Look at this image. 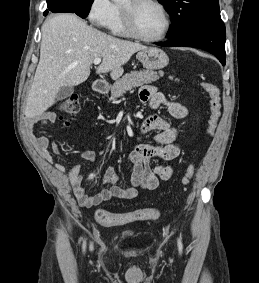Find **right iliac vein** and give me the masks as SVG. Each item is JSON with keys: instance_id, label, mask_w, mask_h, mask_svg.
Masks as SVG:
<instances>
[{"instance_id": "right-iliac-vein-1", "label": "right iliac vein", "mask_w": 259, "mask_h": 283, "mask_svg": "<svg viewBox=\"0 0 259 283\" xmlns=\"http://www.w3.org/2000/svg\"><path fill=\"white\" fill-rule=\"evenodd\" d=\"M90 249H91V250L93 249V244H92V243L90 244Z\"/></svg>"}]
</instances>
